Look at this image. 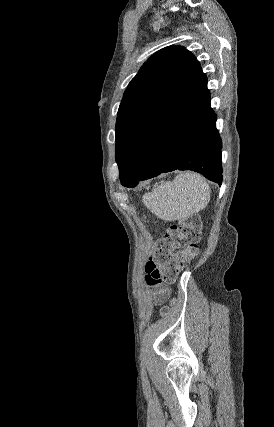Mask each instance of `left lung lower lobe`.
Masks as SVG:
<instances>
[{
    "instance_id": "left-lung-lower-lobe-1",
    "label": "left lung lower lobe",
    "mask_w": 274,
    "mask_h": 427,
    "mask_svg": "<svg viewBox=\"0 0 274 427\" xmlns=\"http://www.w3.org/2000/svg\"><path fill=\"white\" fill-rule=\"evenodd\" d=\"M215 123L201 70L149 129L133 166L119 175L121 184L133 187L137 180L179 169L199 172L221 185L222 145Z\"/></svg>"
}]
</instances>
